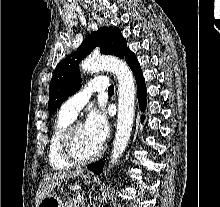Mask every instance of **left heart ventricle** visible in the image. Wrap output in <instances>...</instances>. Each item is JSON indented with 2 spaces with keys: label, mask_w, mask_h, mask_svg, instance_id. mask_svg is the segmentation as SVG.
Returning <instances> with one entry per match:
<instances>
[{
  "label": "left heart ventricle",
  "mask_w": 220,
  "mask_h": 207,
  "mask_svg": "<svg viewBox=\"0 0 220 207\" xmlns=\"http://www.w3.org/2000/svg\"><path fill=\"white\" fill-rule=\"evenodd\" d=\"M73 145L76 154L81 158L92 156L100 147L85 133L84 127L81 125H76L74 128Z\"/></svg>",
  "instance_id": "1"
}]
</instances>
